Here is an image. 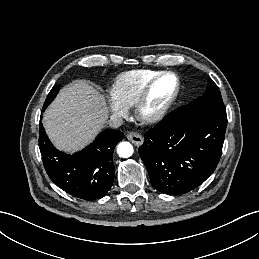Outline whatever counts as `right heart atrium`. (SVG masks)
<instances>
[{
  "mask_svg": "<svg viewBox=\"0 0 259 259\" xmlns=\"http://www.w3.org/2000/svg\"><path fill=\"white\" fill-rule=\"evenodd\" d=\"M108 104L115 116L123 117L128 112V108H126L124 105H122L114 97H111L108 99Z\"/></svg>",
  "mask_w": 259,
  "mask_h": 259,
  "instance_id": "d8ad5b80",
  "label": "right heart atrium"
}]
</instances>
